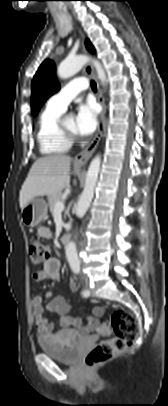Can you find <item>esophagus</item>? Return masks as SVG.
Instances as JSON below:
<instances>
[{
  "label": "esophagus",
  "instance_id": "obj_1",
  "mask_svg": "<svg viewBox=\"0 0 168 406\" xmlns=\"http://www.w3.org/2000/svg\"><path fill=\"white\" fill-rule=\"evenodd\" d=\"M80 35L83 38V34H82L81 31H80ZM81 48H82V51L84 53L87 52L83 42H82ZM85 72L95 80V83H96V86H97V99H98V102L101 104L102 111H101L100 121H99L98 129H97L95 137L81 152H79L75 156L74 161L77 164H80V165H83V164L87 163V161L92 156L95 149L97 148V146H98V144L100 142L101 136H102V132H103V128H104V122H105V114H106V105H105V101H104V98H103V93H102V90L100 88L99 82L97 80L96 74L94 72V69H93V66H92L91 63L86 64Z\"/></svg>",
  "mask_w": 168,
  "mask_h": 406
}]
</instances>
